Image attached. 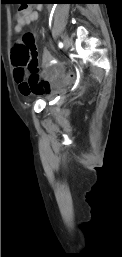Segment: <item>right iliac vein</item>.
I'll return each instance as SVG.
<instances>
[{
	"mask_svg": "<svg viewBox=\"0 0 122 257\" xmlns=\"http://www.w3.org/2000/svg\"><path fill=\"white\" fill-rule=\"evenodd\" d=\"M64 49L67 50L71 45V40L68 36L63 37Z\"/></svg>",
	"mask_w": 122,
	"mask_h": 257,
	"instance_id": "right-iliac-vein-1",
	"label": "right iliac vein"
}]
</instances>
